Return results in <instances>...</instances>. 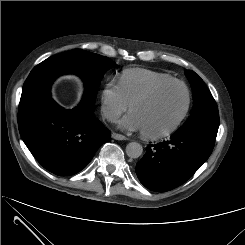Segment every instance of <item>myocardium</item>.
Masks as SVG:
<instances>
[{
  "instance_id": "1",
  "label": "myocardium",
  "mask_w": 245,
  "mask_h": 245,
  "mask_svg": "<svg viewBox=\"0 0 245 245\" xmlns=\"http://www.w3.org/2000/svg\"><path fill=\"white\" fill-rule=\"evenodd\" d=\"M171 85L181 86L185 90L186 104H185L184 110L182 111V113L179 116V118L177 119V121L170 128H168L162 132H158V133H149V132L142 131V135L147 139H151V140L164 139V138L171 136L173 133H175L178 130V128L182 125V123L184 122V120L186 119V117L190 111L191 102H192V95H191L190 88L184 82H182L180 80L172 79V80L164 81V82H161V83L154 85L149 90H147L145 93L134 98L129 104V111L131 112L132 108L135 105L150 100L161 89L168 87V86H171Z\"/></svg>"
}]
</instances>
